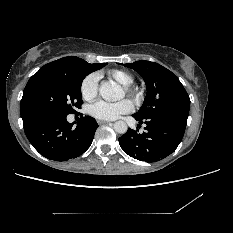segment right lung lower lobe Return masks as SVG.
<instances>
[{
  "mask_svg": "<svg viewBox=\"0 0 233 233\" xmlns=\"http://www.w3.org/2000/svg\"><path fill=\"white\" fill-rule=\"evenodd\" d=\"M65 115H52L24 125L25 134L44 157L66 161L84 153L91 145L98 124L90 116H81L77 126Z\"/></svg>",
  "mask_w": 233,
  "mask_h": 233,
  "instance_id": "obj_1",
  "label": "right lung lower lobe"
}]
</instances>
